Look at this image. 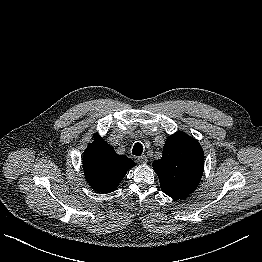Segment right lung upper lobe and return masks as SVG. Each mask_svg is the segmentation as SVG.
I'll list each match as a JSON object with an SVG mask.
<instances>
[{"label": "right lung upper lobe", "mask_w": 262, "mask_h": 262, "mask_svg": "<svg viewBox=\"0 0 262 262\" xmlns=\"http://www.w3.org/2000/svg\"><path fill=\"white\" fill-rule=\"evenodd\" d=\"M97 134L84 152L85 179L93 190L110 193L116 190L127 171L135 166V162L126 156L116 154L115 150Z\"/></svg>", "instance_id": "1"}]
</instances>
